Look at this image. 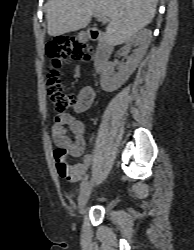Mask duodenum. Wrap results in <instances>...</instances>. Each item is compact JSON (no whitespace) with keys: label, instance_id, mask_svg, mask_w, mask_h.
I'll list each match as a JSON object with an SVG mask.
<instances>
[{"label":"duodenum","instance_id":"duodenum-1","mask_svg":"<svg viewBox=\"0 0 194 250\" xmlns=\"http://www.w3.org/2000/svg\"><path fill=\"white\" fill-rule=\"evenodd\" d=\"M90 37L97 42V51L94 58L95 71H101L107 64L113 47L109 40L96 27L89 30Z\"/></svg>","mask_w":194,"mask_h":250}]
</instances>
